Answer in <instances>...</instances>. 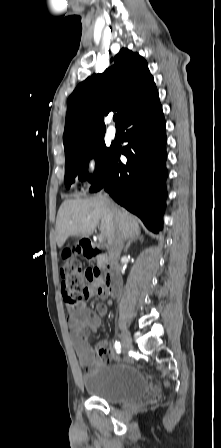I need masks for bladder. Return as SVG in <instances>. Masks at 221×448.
I'll list each match as a JSON object with an SVG mask.
<instances>
[{
    "label": "bladder",
    "mask_w": 221,
    "mask_h": 448,
    "mask_svg": "<svg viewBox=\"0 0 221 448\" xmlns=\"http://www.w3.org/2000/svg\"><path fill=\"white\" fill-rule=\"evenodd\" d=\"M85 390L108 403L130 402L147 396L150 385L138 369L125 365L104 366L82 378Z\"/></svg>",
    "instance_id": "bladder-1"
}]
</instances>
